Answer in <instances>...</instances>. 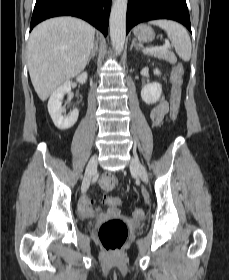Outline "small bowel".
I'll list each match as a JSON object with an SVG mask.
<instances>
[{"label": "small bowel", "instance_id": "small-bowel-1", "mask_svg": "<svg viewBox=\"0 0 229 280\" xmlns=\"http://www.w3.org/2000/svg\"><path fill=\"white\" fill-rule=\"evenodd\" d=\"M169 106L167 101L161 97L157 104L152 108L150 113V119L154 125H159L165 115L168 113ZM109 190V189H107ZM88 190L82 191V196L79 200L77 211L78 214L83 217H90L92 215H108V216H117L120 214L119 207L114 203V201L117 199V197H110V196H104V203L107 205V209H93L92 208V202L88 197Z\"/></svg>", "mask_w": 229, "mask_h": 280}]
</instances>
